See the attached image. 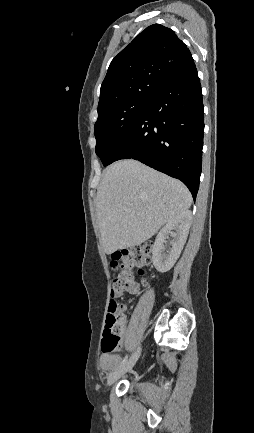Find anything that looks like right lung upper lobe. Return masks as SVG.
I'll return each instance as SVG.
<instances>
[{"mask_svg":"<svg viewBox=\"0 0 254 433\" xmlns=\"http://www.w3.org/2000/svg\"><path fill=\"white\" fill-rule=\"evenodd\" d=\"M192 61L189 49L173 30L160 24L147 27L110 63L98 110L128 99H151Z\"/></svg>","mask_w":254,"mask_h":433,"instance_id":"cb5924a9","label":"right lung upper lobe"}]
</instances>
